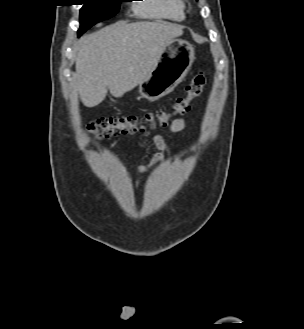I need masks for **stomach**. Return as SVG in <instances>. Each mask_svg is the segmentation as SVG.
I'll use <instances>...</instances> for the list:
<instances>
[{"mask_svg":"<svg viewBox=\"0 0 304 329\" xmlns=\"http://www.w3.org/2000/svg\"><path fill=\"white\" fill-rule=\"evenodd\" d=\"M194 59V47L188 41H168L148 78L139 83L141 97L153 101L171 92L184 79Z\"/></svg>","mask_w":304,"mask_h":329,"instance_id":"0dacf381","label":"stomach"}]
</instances>
